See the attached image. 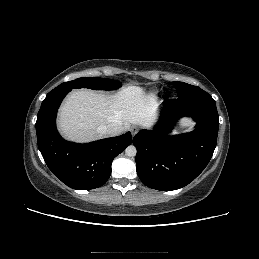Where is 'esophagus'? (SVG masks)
Instances as JSON below:
<instances>
[{"instance_id": "esophagus-1", "label": "esophagus", "mask_w": 259, "mask_h": 259, "mask_svg": "<svg viewBox=\"0 0 259 259\" xmlns=\"http://www.w3.org/2000/svg\"><path fill=\"white\" fill-rule=\"evenodd\" d=\"M138 130H139L138 127L133 126V127L131 128V134H132V136H135V135L137 134Z\"/></svg>"}]
</instances>
